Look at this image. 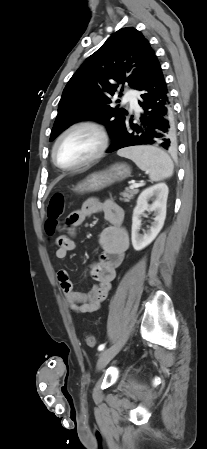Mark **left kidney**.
<instances>
[{
	"label": "left kidney",
	"mask_w": 207,
	"mask_h": 449,
	"mask_svg": "<svg viewBox=\"0 0 207 449\" xmlns=\"http://www.w3.org/2000/svg\"><path fill=\"white\" fill-rule=\"evenodd\" d=\"M168 198V186L165 183L155 184L141 192L137 199L136 207L132 217V245L136 251L148 246L161 231L166 218V204ZM152 200V204L148 202ZM154 212L155 218L149 230L143 235L139 234L141 219L140 215L145 211Z\"/></svg>",
	"instance_id": "left-kidney-1"
}]
</instances>
